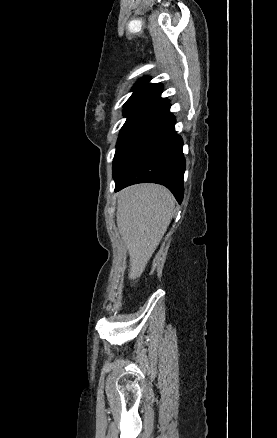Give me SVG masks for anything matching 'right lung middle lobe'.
Returning <instances> with one entry per match:
<instances>
[{
  "mask_svg": "<svg viewBox=\"0 0 277 438\" xmlns=\"http://www.w3.org/2000/svg\"><path fill=\"white\" fill-rule=\"evenodd\" d=\"M169 112L160 111L129 116L120 130L113 160V177L118 181L126 173L163 124Z\"/></svg>",
  "mask_w": 277,
  "mask_h": 438,
  "instance_id": "1",
  "label": "right lung middle lobe"
}]
</instances>
